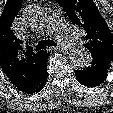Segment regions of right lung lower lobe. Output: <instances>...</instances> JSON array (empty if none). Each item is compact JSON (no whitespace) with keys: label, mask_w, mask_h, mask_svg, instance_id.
I'll use <instances>...</instances> for the list:
<instances>
[{"label":"right lung lower lobe","mask_w":113,"mask_h":113,"mask_svg":"<svg viewBox=\"0 0 113 113\" xmlns=\"http://www.w3.org/2000/svg\"><path fill=\"white\" fill-rule=\"evenodd\" d=\"M48 53L45 52V58L43 60V63L41 64L39 70L37 71V74L35 78L29 82L25 87L19 89L23 93L31 94L40 91L43 86L46 83L47 80V58H48Z\"/></svg>","instance_id":"1"}]
</instances>
